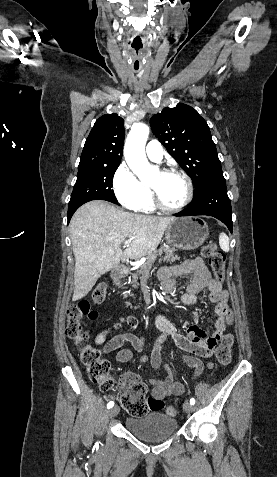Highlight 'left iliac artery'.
Listing matches in <instances>:
<instances>
[{
  "label": "left iliac artery",
  "mask_w": 277,
  "mask_h": 477,
  "mask_svg": "<svg viewBox=\"0 0 277 477\" xmlns=\"http://www.w3.org/2000/svg\"><path fill=\"white\" fill-rule=\"evenodd\" d=\"M190 404H191V405H194V404H195V399H194V398H191V399H190Z\"/></svg>",
  "instance_id": "44dca946"
}]
</instances>
